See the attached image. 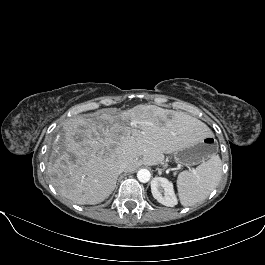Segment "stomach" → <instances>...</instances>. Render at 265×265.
I'll return each instance as SVG.
<instances>
[{
    "mask_svg": "<svg viewBox=\"0 0 265 265\" xmlns=\"http://www.w3.org/2000/svg\"><path fill=\"white\" fill-rule=\"evenodd\" d=\"M216 144L213 137L205 136L199 141L186 143L174 153L175 160L182 165H197L214 155Z\"/></svg>",
    "mask_w": 265,
    "mask_h": 265,
    "instance_id": "obj_1",
    "label": "stomach"
}]
</instances>
